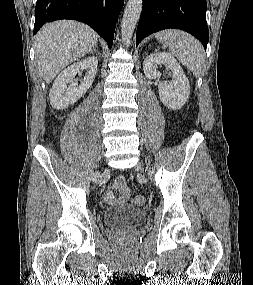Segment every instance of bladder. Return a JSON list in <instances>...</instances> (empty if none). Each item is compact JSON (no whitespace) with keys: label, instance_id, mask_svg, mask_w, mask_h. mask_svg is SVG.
I'll return each mask as SVG.
<instances>
[{"label":"bladder","instance_id":"1","mask_svg":"<svg viewBox=\"0 0 253 285\" xmlns=\"http://www.w3.org/2000/svg\"><path fill=\"white\" fill-rule=\"evenodd\" d=\"M103 222L108 228H133L141 225L145 212L131 205L107 208L102 213Z\"/></svg>","mask_w":253,"mask_h":285}]
</instances>
